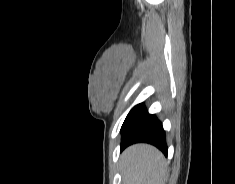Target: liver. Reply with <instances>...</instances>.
Returning a JSON list of instances; mask_svg holds the SVG:
<instances>
[{
    "mask_svg": "<svg viewBox=\"0 0 235 184\" xmlns=\"http://www.w3.org/2000/svg\"><path fill=\"white\" fill-rule=\"evenodd\" d=\"M123 184H166L168 172L163 154L149 144H134L120 160Z\"/></svg>",
    "mask_w": 235,
    "mask_h": 184,
    "instance_id": "6515ba94",
    "label": "liver"
}]
</instances>
